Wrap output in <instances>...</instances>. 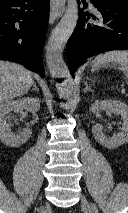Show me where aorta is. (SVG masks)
I'll return each instance as SVG.
<instances>
[{
	"mask_svg": "<svg viewBox=\"0 0 128 213\" xmlns=\"http://www.w3.org/2000/svg\"><path fill=\"white\" fill-rule=\"evenodd\" d=\"M78 20L77 0H68L66 11L58 25L52 31L46 45V63L50 75L55 79H63L57 83V91L61 99L69 100L73 95V80L69 69L63 60L64 47L71 36ZM64 109H69V103H63Z\"/></svg>",
	"mask_w": 128,
	"mask_h": 213,
	"instance_id": "aorta-1",
	"label": "aorta"
}]
</instances>
